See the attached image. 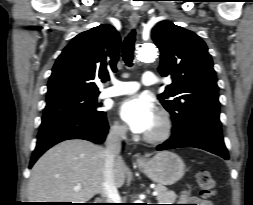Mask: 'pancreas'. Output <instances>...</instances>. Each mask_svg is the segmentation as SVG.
Masks as SVG:
<instances>
[{"label": "pancreas", "instance_id": "cf45deb5", "mask_svg": "<svg viewBox=\"0 0 253 205\" xmlns=\"http://www.w3.org/2000/svg\"><path fill=\"white\" fill-rule=\"evenodd\" d=\"M155 190L158 192L156 199L159 204H172L176 200L177 195L165 186L157 185Z\"/></svg>", "mask_w": 253, "mask_h": 205}]
</instances>
